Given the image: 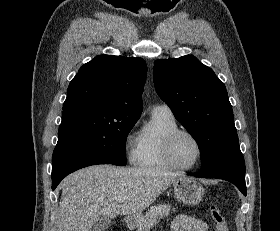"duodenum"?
Returning a JSON list of instances; mask_svg holds the SVG:
<instances>
[{
  "instance_id": "obj_1",
  "label": "duodenum",
  "mask_w": 280,
  "mask_h": 231,
  "mask_svg": "<svg viewBox=\"0 0 280 231\" xmlns=\"http://www.w3.org/2000/svg\"><path fill=\"white\" fill-rule=\"evenodd\" d=\"M134 219L131 218V217H126L124 222L127 224V225H130L131 223H133Z\"/></svg>"
}]
</instances>
